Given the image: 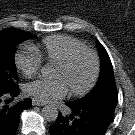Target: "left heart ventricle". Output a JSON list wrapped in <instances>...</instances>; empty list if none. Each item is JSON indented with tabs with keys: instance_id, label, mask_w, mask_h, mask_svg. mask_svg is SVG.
<instances>
[{
	"instance_id": "1",
	"label": "left heart ventricle",
	"mask_w": 135,
	"mask_h": 135,
	"mask_svg": "<svg viewBox=\"0 0 135 135\" xmlns=\"http://www.w3.org/2000/svg\"><path fill=\"white\" fill-rule=\"evenodd\" d=\"M92 71V59L87 55H83L66 70L55 66L52 77L55 79H62L69 90H80L86 86L90 80Z\"/></svg>"
}]
</instances>
